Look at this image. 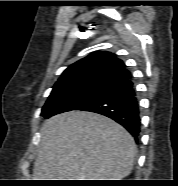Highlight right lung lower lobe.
I'll return each mask as SVG.
<instances>
[{"label": "right lung lower lobe", "instance_id": "98d812e1", "mask_svg": "<svg viewBox=\"0 0 178 186\" xmlns=\"http://www.w3.org/2000/svg\"><path fill=\"white\" fill-rule=\"evenodd\" d=\"M77 110L95 112L113 119L136 140L140 135V106L131 76L111 84Z\"/></svg>", "mask_w": 178, "mask_h": 186}]
</instances>
